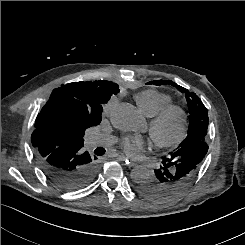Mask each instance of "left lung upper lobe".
<instances>
[{"label": "left lung upper lobe", "instance_id": "5c2ea615", "mask_svg": "<svg viewBox=\"0 0 245 245\" xmlns=\"http://www.w3.org/2000/svg\"><path fill=\"white\" fill-rule=\"evenodd\" d=\"M147 84H153L158 86L160 85L176 86L179 91L184 92L186 94V99L188 102V107L190 112V121H189L188 135L181 142L179 147L197 141H205V136L207 134V128H208V111L204 106V104L201 102L200 98L195 93L189 92L187 89L177 85L176 83L170 80L150 81Z\"/></svg>", "mask_w": 245, "mask_h": 245}]
</instances>
